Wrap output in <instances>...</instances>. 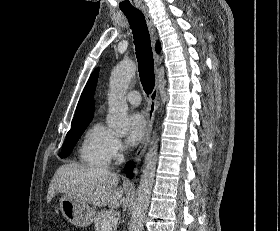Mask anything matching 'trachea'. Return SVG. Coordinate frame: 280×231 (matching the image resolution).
Segmentation results:
<instances>
[{"label": "trachea", "instance_id": "trachea-1", "mask_svg": "<svg viewBox=\"0 0 280 231\" xmlns=\"http://www.w3.org/2000/svg\"><path fill=\"white\" fill-rule=\"evenodd\" d=\"M123 13L126 15L133 33L140 81L144 91L149 95L155 85V75L150 35L145 18L143 13L137 9Z\"/></svg>", "mask_w": 280, "mask_h": 231}]
</instances>
